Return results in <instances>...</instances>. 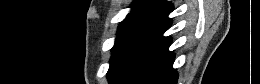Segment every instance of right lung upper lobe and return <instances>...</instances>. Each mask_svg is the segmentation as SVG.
<instances>
[{
	"instance_id": "obj_1",
	"label": "right lung upper lobe",
	"mask_w": 260,
	"mask_h": 84,
	"mask_svg": "<svg viewBox=\"0 0 260 84\" xmlns=\"http://www.w3.org/2000/svg\"><path fill=\"white\" fill-rule=\"evenodd\" d=\"M132 12L119 26V33L131 28H169V13L172 4L163 0H136L132 4Z\"/></svg>"
}]
</instances>
